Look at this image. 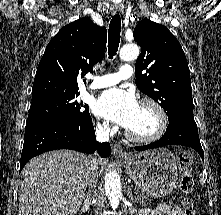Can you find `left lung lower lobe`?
<instances>
[{
    "instance_id": "left-lung-lower-lobe-1",
    "label": "left lung lower lobe",
    "mask_w": 221,
    "mask_h": 215,
    "mask_svg": "<svg viewBox=\"0 0 221 215\" xmlns=\"http://www.w3.org/2000/svg\"><path fill=\"white\" fill-rule=\"evenodd\" d=\"M166 145H184L195 149L204 160V152L200 144L195 121L170 122L165 134L158 141L135 147L137 151L155 149Z\"/></svg>"
}]
</instances>
